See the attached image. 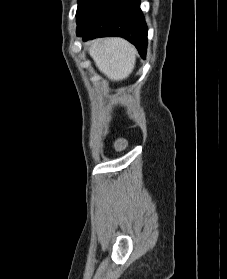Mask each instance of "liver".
Returning a JSON list of instances; mask_svg holds the SVG:
<instances>
[{
	"instance_id": "1",
	"label": "liver",
	"mask_w": 227,
	"mask_h": 279,
	"mask_svg": "<svg viewBox=\"0 0 227 279\" xmlns=\"http://www.w3.org/2000/svg\"><path fill=\"white\" fill-rule=\"evenodd\" d=\"M88 52L96 67L112 81L129 77L136 63V48L122 38L95 39Z\"/></svg>"
}]
</instances>
